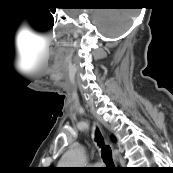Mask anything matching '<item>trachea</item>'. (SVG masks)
Segmentation results:
<instances>
[{
    "instance_id": "1",
    "label": "trachea",
    "mask_w": 173,
    "mask_h": 173,
    "mask_svg": "<svg viewBox=\"0 0 173 173\" xmlns=\"http://www.w3.org/2000/svg\"><path fill=\"white\" fill-rule=\"evenodd\" d=\"M95 141L98 143V145L102 149V155L101 156H102L104 163L107 165L106 168H114L111 148L104 144L103 137H102V135L98 129L96 130Z\"/></svg>"
}]
</instances>
